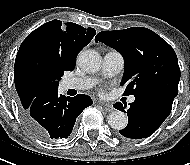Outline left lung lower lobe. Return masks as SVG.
Here are the masks:
<instances>
[{
    "mask_svg": "<svg viewBox=\"0 0 190 165\" xmlns=\"http://www.w3.org/2000/svg\"><path fill=\"white\" fill-rule=\"evenodd\" d=\"M175 97L162 93H147L135 96L127 110L128 125L119 130L127 138L141 139L152 135L169 116ZM127 104L117 102L114 107L125 113Z\"/></svg>",
    "mask_w": 190,
    "mask_h": 165,
    "instance_id": "0a47b994",
    "label": "left lung lower lobe"
}]
</instances>
